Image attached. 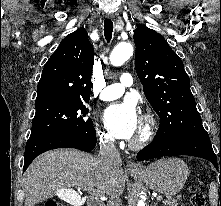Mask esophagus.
<instances>
[{
	"instance_id": "34e87169",
	"label": "esophagus",
	"mask_w": 221,
	"mask_h": 206,
	"mask_svg": "<svg viewBox=\"0 0 221 206\" xmlns=\"http://www.w3.org/2000/svg\"><path fill=\"white\" fill-rule=\"evenodd\" d=\"M106 18L111 19V18H113V15L106 14ZM126 168L128 170H140V169H142L141 164L136 163V162H132V161L127 162Z\"/></svg>"
}]
</instances>
